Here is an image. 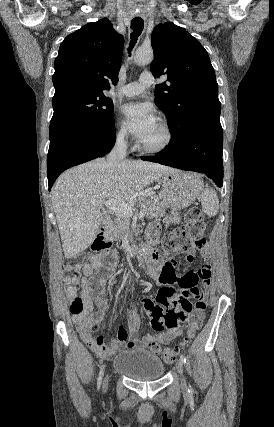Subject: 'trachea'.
<instances>
[{
    "mask_svg": "<svg viewBox=\"0 0 274 427\" xmlns=\"http://www.w3.org/2000/svg\"><path fill=\"white\" fill-rule=\"evenodd\" d=\"M143 27H144V20L142 18L140 17L133 18V20L131 21V28L133 32L131 33V44H130V48H128L129 52H131L132 47L137 42L139 35H141V32L143 31Z\"/></svg>",
    "mask_w": 274,
    "mask_h": 427,
    "instance_id": "obj_1",
    "label": "trachea"
}]
</instances>
